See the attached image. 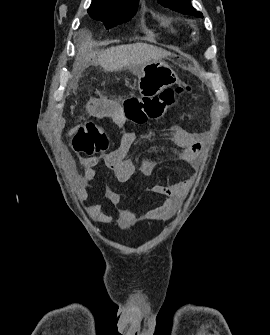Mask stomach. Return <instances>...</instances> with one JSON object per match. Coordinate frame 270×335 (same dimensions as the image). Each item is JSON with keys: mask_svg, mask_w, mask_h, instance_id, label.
Masks as SVG:
<instances>
[{"mask_svg": "<svg viewBox=\"0 0 270 335\" xmlns=\"http://www.w3.org/2000/svg\"><path fill=\"white\" fill-rule=\"evenodd\" d=\"M138 74V90L141 98H154L163 86H172L178 82V76L166 62H147Z\"/></svg>", "mask_w": 270, "mask_h": 335, "instance_id": "1", "label": "stomach"}]
</instances>
